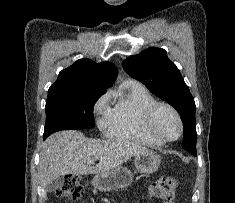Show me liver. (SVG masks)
Segmentation results:
<instances>
[{
  "mask_svg": "<svg viewBox=\"0 0 235 203\" xmlns=\"http://www.w3.org/2000/svg\"><path fill=\"white\" fill-rule=\"evenodd\" d=\"M147 148L120 139H89L81 132L60 131L43 143L39 176L44 188L68 174H98L113 170ZM98 161L95 167L91 165Z\"/></svg>",
  "mask_w": 235,
  "mask_h": 203,
  "instance_id": "6515ba94",
  "label": "liver"
}]
</instances>
